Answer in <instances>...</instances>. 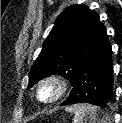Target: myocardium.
Segmentation results:
<instances>
[{"mask_svg": "<svg viewBox=\"0 0 122 123\" xmlns=\"http://www.w3.org/2000/svg\"><path fill=\"white\" fill-rule=\"evenodd\" d=\"M47 84H54L57 88L56 94L50 99H43L41 97V89ZM70 84L67 78L62 75L52 74L43 78L36 90L37 99L44 104H54L65 97L69 90Z\"/></svg>", "mask_w": 122, "mask_h": 123, "instance_id": "myocardium-1", "label": "myocardium"}]
</instances>
